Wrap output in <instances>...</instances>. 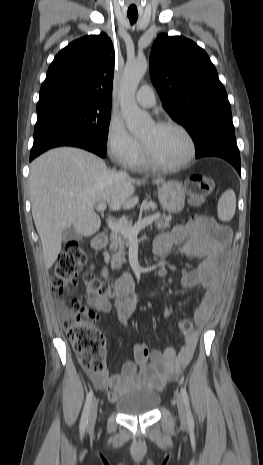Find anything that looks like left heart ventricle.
I'll return each mask as SVG.
<instances>
[{
    "mask_svg": "<svg viewBox=\"0 0 263 465\" xmlns=\"http://www.w3.org/2000/svg\"><path fill=\"white\" fill-rule=\"evenodd\" d=\"M153 156L164 164H175L188 154L189 144L185 136L175 128H159L150 125L140 136Z\"/></svg>",
    "mask_w": 263,
    "mask_h": 465,
    "instance_id": "b2bd125f",
    "label": "left heart ventricle"
}]
</instances>
